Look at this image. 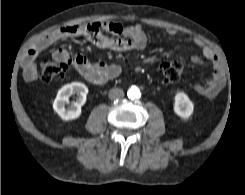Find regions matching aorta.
I'll return each mask as SVG.
<instances>
[{
	"mask_svg": "<svg viewBox=\"0 0 245 195\" xmlns=\"http://www.w3.org/2000/svg\"><path fill=\"white\" fill-rule=\"evenodd\" d=\"M127 95L130 99H137L140 98L141 92L136 86H132L128 89Z\"/></svg>",
	"mask_w": 245,
	"mask_h": 195,
	"instance_id": "aorta-1",
	"label": "aorta"
}]
</instances>
